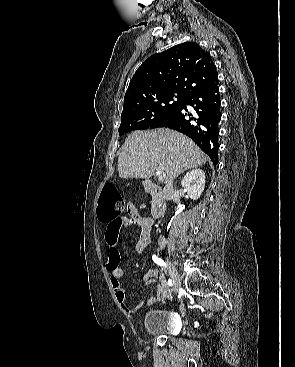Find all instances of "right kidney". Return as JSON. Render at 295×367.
<instances>
[{
  "mask_svg": "<svg viewBox=\"0 0 295 367\" xmlns=\"http://www.w3.org/2000/svg\"><path fill=\"white\" fill-rule=\"evenodd\" d=\"M181 185L191 199L197 200L204 191L205 173L202 169H193L184 176Z\"/></svg>",
  "mask_w": 295,
  "mask_h": 367,
  "instance_id": "ca27d5eb",
  "label": "right kidney"
}]
</instances>
